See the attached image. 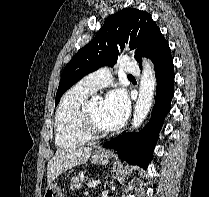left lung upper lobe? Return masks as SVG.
I'll list each match as a JSON object with an SVG mask.
<instances>
[{"mask_svg":"<svg viewBox=\"0 0 209 197\" xmlns=\"http://www.w3.org/2000/svg\"><path fill=\"white\" fill-rule=\"evenodd\" d=\"M164 41L160 29L145 11L125 8L109 16L96 36L64 68L55 105L63 93L79 79L101 66L112 67L119 55L117 45L121 51L127 42L130 43V49L137 48L135 59L141 65V55L150 58Z\"/></svg>","mask_w":209,"mask_h":197,"instance_id":"obj_1","label":"left lung upper lobe"}]
</instances>
